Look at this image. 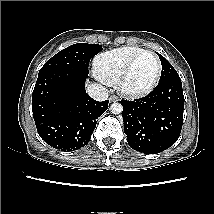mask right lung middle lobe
Segmentation results:
<instances>
[{"label":"right lung middle lobe","mask_w":214,"mask_h":214,"mask_svg":"<svg viewBox=\"0 0 214 214\" xmlns=\"http://www.w3.org/2000/svg\"><path fill=\"white\" fill-rule=\"evenodd\" d=\"M101 45L77 43L71 45L49 59L39 71V75L47 72L63 70L88 75V65L92 57L102 50Z\"/></svg>","instance_id":"1"}]
</instances>
